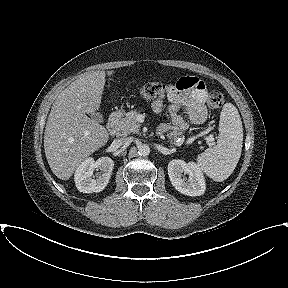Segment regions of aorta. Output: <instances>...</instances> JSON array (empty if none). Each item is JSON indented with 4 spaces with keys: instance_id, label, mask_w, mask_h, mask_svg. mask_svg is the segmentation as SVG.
<instances>
[{
    "instance_id": "obj_1",
    "label": "aorta",
    "mask_w": 288,
    "mask_h": 288,
    "mask_svg": "<svg viewBox=\"0 0 288 288\" xmlns=\"http://www.w3.org/2000/svg\"><path fill=\"white\" fill-rule=\"evenodd\" d=\"M149 153H150V147L148 145L143 144V145H140L138 147V154L140 156L145 157V156L149 155Z\"/></svg>"
}]
</instances>
